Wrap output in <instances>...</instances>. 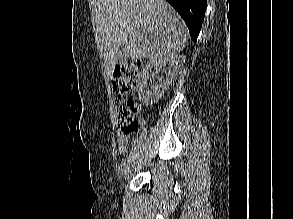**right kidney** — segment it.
Returning a JSON list of instances; mask_svg holds the SVG:
<instances>
[{"mask_svg": "<svg viewBox=\"0 0 293 219\" xmlns=\"http://www.w3.org/2000/svg\"><path fill=\"white\" fill-rule=\"evenodd\" d=\"M184 63L185 56L178 54L150 59L145 63L138 81V95L140 101L146 105L157 102L164 94V91L167 90L170 84L175 80ZM166 65L170 66L166 76L159 78L157 84L152 83V80H149V72L154 68L156 73H159Z\"/></svg>", "mask_w": 293, "mask_h": 219, "instance_id": "1", "label": "right kidney"}]
</instances>
